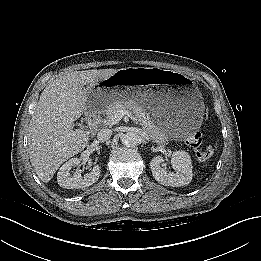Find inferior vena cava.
<instances>
[{
    "mask_svg": "<svg viewBox=\"0 0 261 261\" xmlns=\"http://www.w3.org/2000/svg\"><path fill=\"white\" fill-rule=\"evenodd\" d=\"M112 135L111 129H101L97 134V139L100 142H107Z\"/></svg>",
    "mask_w": 261,
    "mask_h": 261,
    "instance_id": "inferior-vena-cava-1",
    "label": "inferior vena cava"
}]
</instances>
